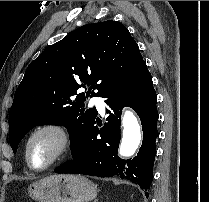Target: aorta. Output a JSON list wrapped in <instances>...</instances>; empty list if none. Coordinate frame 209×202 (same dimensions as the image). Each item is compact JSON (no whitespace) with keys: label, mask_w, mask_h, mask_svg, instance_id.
<instances>
[{"label":"aorta","mask_w":209,"mask_h":202,"mask_svg":"<svg viewBox=\"0 0 209 202\" xmlns=\"http://www.w3.org/2000/svg\"><path fill=\"white\" fill-rule=\"evenodd\" d=\"M122 139L119 154L122 157L132 156L141 142V127L132 111L126 110L122 117Z\"/></svg>","instance_id":"762f6f07"}]
</instances>
